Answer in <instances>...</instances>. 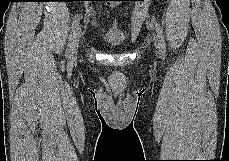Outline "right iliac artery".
<instances>
[{"instance_id": "right-iliac-artery-1", "label": "right iliac artery", "mask_w": 229, "mask_h": 161, "mask_svg": "<svg viewBox=\"0 0 229 161\" xmlns=\"http://www.w3.org/2000/svg\"><path fill=\"white\" fill-rule=\"evenodd\" d=\"M80 19H81V16L79 14H77L75 16L74 20H73L72 27H71V33L69 35V43H68V47H67V50H66V57L67 58H70L72 40H73V38L75 36L76 30L79 27Z\"/></svg>"}]
</instances>
